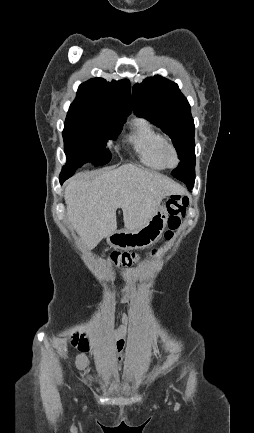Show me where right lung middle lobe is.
<instances>
[{
	"instance_id": "1",
	"label": "right lung middle lobe",
	"mask_w": 254,
	"mask_h": 433,
	"mask_svg": "<svg viewBox=\"0 0 254 433\" xmlns=\"http://www.w3.org/2000/svg\"><path fill=\"white\" fill-rule=\"evenodd\" d=\"M125 121H113L104 111L70 108L64 124L63 138L67 165L77 169L88 161L107 163L110 152L105 150L108 139H116Z\"/></svg>"
}]
</instances>
